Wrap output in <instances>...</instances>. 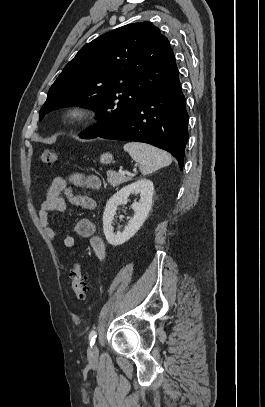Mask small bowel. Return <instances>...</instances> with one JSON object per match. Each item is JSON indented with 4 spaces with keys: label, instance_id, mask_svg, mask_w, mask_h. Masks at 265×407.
Masks as SVG:
<instances>
[{
    "label": "small bowel",
    "instance_id": "small-bowel-1",
    "mask_svg": "<svg viewBox=\"0 0 265 407\" xmlns=\"http://www.w3.org/2000/svg\"><path fill=\"white\" fill-rule=\"evenodd\" d=\"M70 184L90 191H98L102 185L101 179L96 175L76 174L71 177L58 176L54 178L39 211V219L44 227L45 235L51 241L57 236V230L53 227L52 222L58 215L67 213V201L84 209L94 207L90 197L74 195ZM74 231L79 237L89 239L90 247L98 260H104L106 256L105 244L96 234V225L91 219H79L75 223ZM63 243L67 248H75L78 245L75 238L70 234L64 236Z\"/></svg>",
    "mask_w": 265,
    "mask_h": 407
}]
</instances>
